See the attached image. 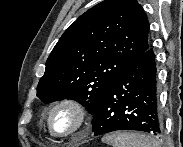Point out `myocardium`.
<instances>
[{
  "instance_id": "obj_1",
  "label": "myocardium",
  "mask_w": 183,
  "mask_h": 147,
  "mask_svg": "<svg viewBox=\"0 0 183 147\" xmlns=\"http://www.w3.org/2000/svg\"><path fill=\"white\" fill-rule=\"evenodd\" d=\"M61 107L71 108L78 116V124L72 131L65 134H58L54 131L51 123V117L55 110ZM89 120V113L87 107L79 100L74 98H63L54 103L47 112L46 122L49 132L52 136L60 139L70 138L80 133L87 125Z\"/></svg>"
}]
</instances>
